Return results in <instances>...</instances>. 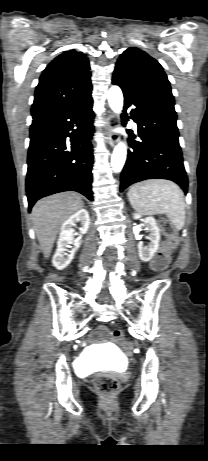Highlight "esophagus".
I'll return each mask as SVG.
<instances>
[{
	"label": "esophagus",
	"instance_id": "1",
	"mask_svg": "<svg viewBox=\"0 0 208 461\" xmlns=\"http://www.w3.org/2000/svg\"><path fill=\"white\" fill-rule=\"evenodd\" d=\"M116 124L117 117L114 114L109 115L107 124L105 126V132L110 146H114L119 139L118 135L113 131V128Z\"/></svg>",
	"mask_w": 208,
	"mask_h": 461
}]
</instances>
